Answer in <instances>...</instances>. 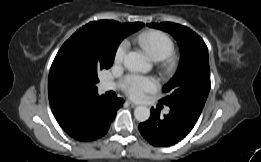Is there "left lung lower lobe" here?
<instances>
[{"label":"left lung lower lobe","mask_w":261,"mask_h":162,"mask_svg":"<svg viewBox=\"0 0 261 162\" xmlns=\"http://www.w3.org/2000/svg\"><path fill=\"white\" fill-rule=\"evenodd\" d=\"M170 107V113L164 118L159 110L151 109V116L139 125L142 136L152 145L171 146L188 135L195 126L201 112L185 103Z\"/></svg>","instance_id":"1"}]
</instances>
